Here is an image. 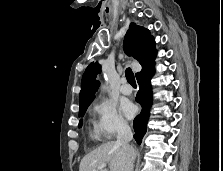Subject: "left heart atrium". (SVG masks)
Segmentation results:
<instances>
[{"instance_id": "obj_1", "label": "left heart atrium", "mask_w": 223, "mask_h": 171, "mask_svg": "<svg viewBox=\"0 0 223 171\" xmlns=\"http://www.w3.org/2000/svg\"><path fill=\"white\" fill-rule=\"evenodd\" d=\"M121 111L127 118H132L135 114V106L126 101L121 104Z\"/></svg>"}]
</instances>
